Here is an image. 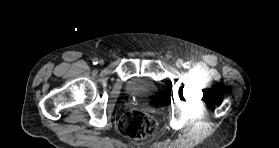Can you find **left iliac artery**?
<instances>
[{
    "instance_id": "1",
    "label": "left iliac artery",
    "mask_w": 279,
    "mask_h": 148,
    "mask_svg": "<svg viewBox=\"0 0 279 148\" xmlns=\"http://www.w3.org/2000/svg\"><path fill=\"white\" fill-rule=\"evenodd\" d=\"M184 68H189L191 66V63L190 62H185L183 64Z\"/></svg>"
}]
</instances>
